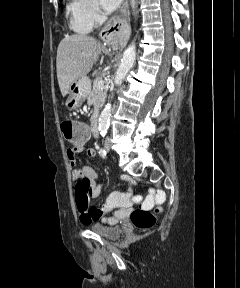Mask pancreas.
Segmentation results:
<instances>
[{
    "instance_id": "pancreas-1",
    "label": "pancreas",
    "mask_w": 240,
    "mask_h": 288,
    "mask_svg": "<svg viewBox=\"0 0 240 288\" xmlns=\"http://www.w3.org/2000/svg\"><path fill=\"white\" fill-rule=\"evenodd\" d=\"M101 79V76H96L93 81V90L88 97V104L94 106V114L98 111L99 107L105 102L107 96L106 88L102 90L98 89V81Z\"/></svg>"
}]
</instances>
